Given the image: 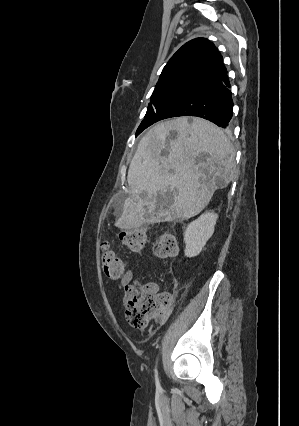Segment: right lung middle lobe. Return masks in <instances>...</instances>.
<instances>
[{"instance_id": "right-lung-middle-lobe-1", "label": "right lung middle lobe", "mask_w": 299, "mask_h": 426, "mask_svg": "<svg viewBox=\"0 0 299 426\" xmlns=\"http://www.w3.org/2000/svg\"><path fill=\"white\" fill-rule=\"evenodd\" d=\"M196 87L197 86L185 83H171L156 86L152 93L151 103L148 105L144 120L141 122L136 131V136L148 126L159 121L162 113L169 106H171L174 102L179 100L187 93L194 90Z\"/></svg>"}]
</instances>
